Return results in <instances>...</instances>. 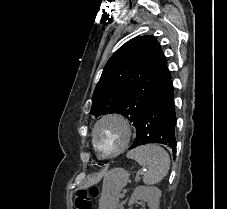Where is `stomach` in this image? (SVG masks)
<instances>
[{"instance_id":"1","label":"stomach","mask_w":227,"mask_h":209,"mask_svg":"<svg viewBox=\"0 0 227 209\" xmlns=\"http://www.w3.org/2000/svg\"><path fill=\"white\" fill-rule=\"evenodd\" d=\"M129 173L123 168L109 170L103 180L102 192L99 199V209H117L120 191L126 186Z\"/></svg>"}]
</instances>
